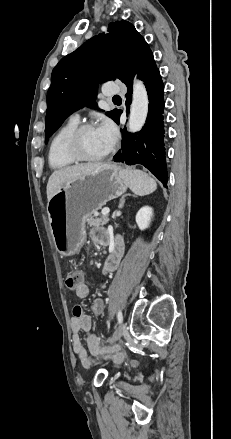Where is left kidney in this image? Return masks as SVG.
<instances>
[{"mask_svg": "<svg viewBox=\"0 0 231 439\" xmlns=\"http://www.w3.org/2000/svg\"><path fill=\"white\" fill-rule=\"evenodd\" d=\"M152 216L153 209L149 206H144L137 212L136 223L140 230H144L149 227Z\"/></svg>", "mask_w": 231, "mask_h": 439, "instance_id": "5707ae66", "label": "left kidney"}]
</instances>
